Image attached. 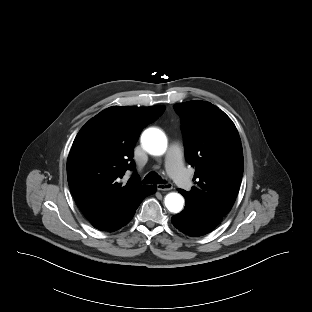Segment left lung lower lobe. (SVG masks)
<instances>
[{"label":"left lung lower lobe","mask_w":312,"mask_h":312,"mask_svg":"<svg viewBox=\"0 0 312 312\" xmlns=\"http://www.w3.org/2000/svg\"><path fill=\"white\" fill-rule=\"evenodd\" d=\"M171 220L173 225L181 232L189 236H201L211 232L220 224L222 217L186 200L185 209L173 216Z\"/></svg>","instance_id":"obj_1"}]
</instances>
